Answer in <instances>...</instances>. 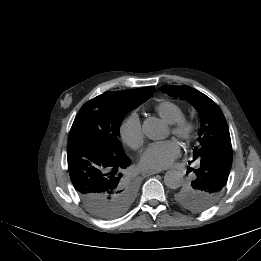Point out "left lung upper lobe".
Returning a JSON list of instances; mask_svg holds the SVG:
<instances>
[{"mask_svg":"<svg viewBox=\"0 0 261 261\" xmlns=\"http://www.w3.org/2000/svg\"><path fill=\"white\" fill-rule=\"evenodd\" d=\"M161 91L187 100L199 112L201 129L198 146L194 148L193 161L198 163V167L204 161H208L215 172L226 173L222 174L225 178H215V175L209 176L205 180H194L193 178L191 183H186L175 191L174 198L180 205L188 210L201 212L211 207L219 199L227 182L232 165L229 128L217 104L192 87L187 85L162 86Z\"/></svg>","mask_w":261,"mask_h":261,"instance_id":"obj_1","label":"left lung upper lobe"}]
</instances>
